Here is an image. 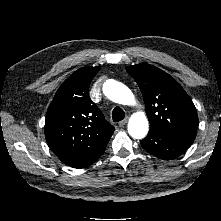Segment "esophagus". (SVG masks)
Returning a JSON list of instances; mask_svg holds the SVG:
<instances>
[{"mask_svg":"<svg viewBox=\"0 0 221 221\" xmlns=\"http://www.w3.org/2000/svg\"><path fill=\"white\" fill-rule=\"evenodd\" d=\"M127 122H128V119L127 118H125L124 120H122V121H120L118 124H119V126H124V125H126L127 124Z\"/></svg>","mask_w":221,"mask_h":221,"instance_id":"1","label":"esophagus"}]
</instances>
